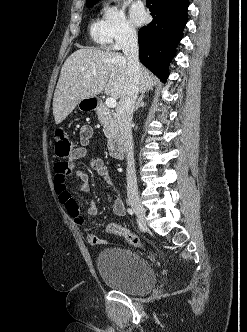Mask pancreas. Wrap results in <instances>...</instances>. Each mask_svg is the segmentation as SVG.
<instances>
[{
	"label": "pancreas",
	"mask_w": 247,
	"mask_h": 332,
	"mask_svg": "<svg viewBox=\"0 0 247 332\" xmlns=\"http://www.w3.org/2000/svg\"><path fill=\"white\" fill-rule=\"evenodd\" d=\"M100 123L103 126V132L109 140L115 138L118 133V126L115 116L105 106H101L97 110Z\"/></svg>",
	"instance_id": "cf45deb5"
}]
</instances>
